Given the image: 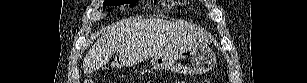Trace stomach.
<instances>
[{
  "mask_svg": "<svg viewBox=\"0 0 307 83\" xmlns=\"http://www.w3.org/2000/svg\"><path fill=\"white\" fill-rule=\"evenodd\" d=\"M151 64L155 69L168 70L184 75L204 74L216 64V55L207 45L194 46L175 56H154Z\"/></svg>",
  "mask_w": 307,
  "mask_h": 83,
  "instance_id": "0dacf381",
  "label": "stomach"
}]
</instances>
